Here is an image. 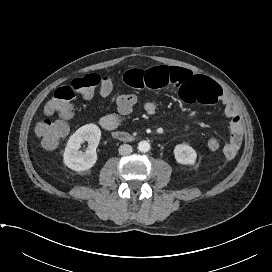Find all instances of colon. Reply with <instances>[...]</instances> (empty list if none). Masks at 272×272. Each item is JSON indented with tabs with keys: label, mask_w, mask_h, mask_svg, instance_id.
<instances>
[{
	"label": "colon",
	"mask_w": 272,
	"mask_h": 272,
	"mask_svg": "<svg viewBox=\"0 0 272 272\" xmlns=\"http://www.w3.org/2000/svg\"><path fill=\"white\" fill-rule=\"evenodd\" d=\"M100 87V93L108 98L118 111L129 114L135 107L138 98L135 94L115 92L113 83L109 78L97 74H86L73 79L70 85L58 88L52 98L45 104L44 112L47 116L57 115L59 119L44 118L36 125V134L40 137L42 146L46 149L55 148L60 140L69 132V120L73 114V99L75 92L85 98L93 95L95 88ZM210 150L220 148L219 140L210 138L207 141Z\"/></svg>",
	"instance_id": "5ec220e1"
}]
</instances>
